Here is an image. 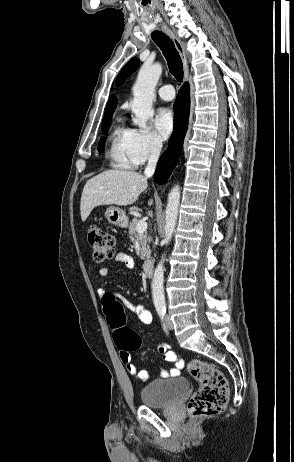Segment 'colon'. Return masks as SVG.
Here are the masks:
<instances>
[{
  "instance_id": "colon-1",
  "label": "colon",
  "mask_w": 294,
  "mask_h": 462,
  "mask_svg": "<svg viewBox=\"0 0 294 462\" xmlns=\"http://www.w3.org/2000/svg\"><path fill=\"white\" fill-rule=\"evenodd\" d=\"M86 235L92 248L93 259L104 262L114 256V238L97 225L87 227ZM102 310L113 329L116 346L124 352L138 350L143 342L140 336L126 326L123 307L113 292H106L101 300ZM188 372L200 383L188 402L193 416H212L224 410L228 402V382L224 374L213 365L193 359L187 364Z\"/></svg>"
}]
</instances>
